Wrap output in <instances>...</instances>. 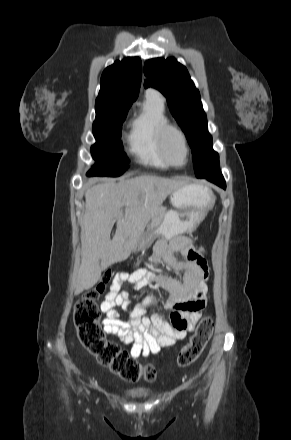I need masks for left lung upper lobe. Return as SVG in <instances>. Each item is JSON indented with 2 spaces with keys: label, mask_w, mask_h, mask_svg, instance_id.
Here are the masks:
<instances>
[{
  "label": "left lung upper lobe",
  "mask_w": 291,
  "mask_h": 440,
  "mask_svg": "<svg viewBox=\"0 0 291 440\" xmlns=\"http://www.w3.org/2000/svg\"><path fill=\"white\" fill-rule=\"evenodd\" d=\"M144 74V87L156 88L167 98L173 117L185 133L192 149L196 177L203 178L219 170V155L212 148L200 93L187 69L175 58H155L145 62Z\"/></svg>",
  "instance_id": "1"
}]
</instances>
